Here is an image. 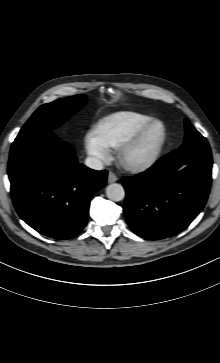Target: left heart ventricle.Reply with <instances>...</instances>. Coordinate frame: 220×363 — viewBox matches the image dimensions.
<instances>
[{"label":"left heart ventricle","mask_w":220,"mask_h":363,"mask_svg":"<svg viewBox=\"0 0 220 363\" xmlns=\"http://www.w3.org/2000/svg\"><path fill=\"white\" fill-rule=\"evenodd\" d=\"M160 134V128L157 127L152 130L141 144L131 153L132 159H139L145 156L151 149L153 143L157 140Z\"/></svg>","instance_id":"b2bd125f"}]
</instances>
